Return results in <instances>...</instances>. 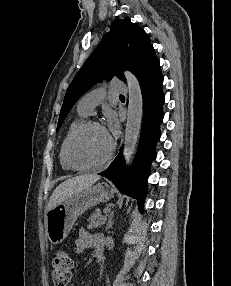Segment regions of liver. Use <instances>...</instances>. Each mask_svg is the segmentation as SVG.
Masks as SVG:
<instances>
[{
	"mask_svg": "<svg viewBox=\"0 0 231 286\" xmlns=\"http://www.w3.org/2000/svg\"><path fill=\"white\" fill-rule=\"evenodd\" d=\"M99 176L95 174L80 175L68 179L56 187L50 196L46 211L56 207L74 193L81 191L99 180Z\"/></svg>",
	"mask_w": 231,
	"mask_h": 286,
	"instance_id": "obj_1",
	"label": "liver"
}]
</instances>
